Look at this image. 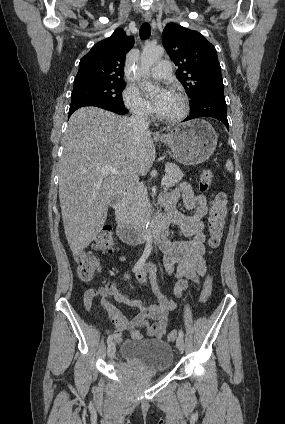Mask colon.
<instances>
[{
	"instance_id": "1",
	"label": "colon",
	"mask_w": 285,
	"mask_h": 424,
	"mask_svg": "<svg viewBox=\"0 0 285 424\" xmlns=\"http://www.w3.org/2000/svg\"><path fill=\"white\" fill-rule=\"evenodd\" d=\"M214 173L212 170H205L201 174L198 181V188L201 193H207L210 189ZM228 214V197L225 193H217L211 202V210L209 217V245L216 248L220 244L226 217ZM97 244L104 252H110L114 245V237L110 226H104L98 236ZM77 263V273L81 280L90 281L101 269L99 258L90 251H78L75 253ZM212 279L207 276L204 281L203 291L200 298L202 304L206 303L211 295ZM177 332L172 331L168 335L169 341H174Z\"/></svg>"
}]
</instances>
